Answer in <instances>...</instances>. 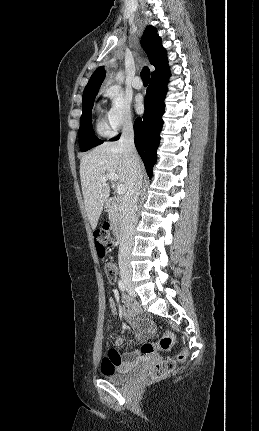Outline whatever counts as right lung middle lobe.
<instances>
[{
  "label": "right lung middle lobe",
  "mask_w": 259,
  "mask_h": 431,
  "mask_svg": "<svg viewBox=\"0 0 259 431\" xmlns=\"http://www.w3.org/2000/svg\"><path fill=\"white\" fill-rule=\"evenodd\" d=\"M96 94L97 92H91L83 95V113L79 128V144L82 152L102 143V141L95 136L92 128V108Z\"/></svg>",
  "instance_id": "1"
}]
</instances>
